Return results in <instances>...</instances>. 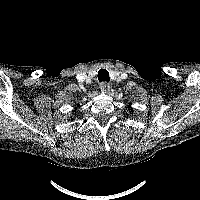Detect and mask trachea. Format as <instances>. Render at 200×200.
<instances>
[{"mask_svg":"<svg viewBox=\"0 0 200 200\" xmlns=\"http://www.w3.org/2000/svg\"><path fill=\"white\" fill-rule=\"evenodd\" d=\"M98 80L99 82L106 81L109 82V73L105 69H100L98 72Z\"/></svg>","mask_w":200,"mask_h":200,"instance_id":"obj_1","label":"trachea"}]
</instances>
